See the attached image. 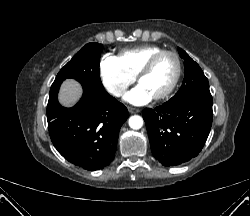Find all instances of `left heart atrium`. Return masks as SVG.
Listing matches in <instances>:
<instances>
[{"mask_svg":"<svg viewBox=\"0 0 250 216\" xmlns=\"http://www.w3.org/2000/svg\"><path fill=\"white\" fill-rule=\"evenodd\" d=\"M152 98L153 97L146 90V88L143 85L139 84L131 91H129L124 99L133 105H144L151 101Z\"/></svg>","mask_w":250,"mask_h":216,"instance_id":"39dd6f15","label":"left heart atrium"}]
</instances>
